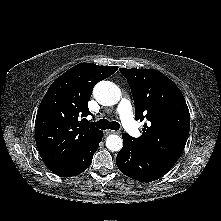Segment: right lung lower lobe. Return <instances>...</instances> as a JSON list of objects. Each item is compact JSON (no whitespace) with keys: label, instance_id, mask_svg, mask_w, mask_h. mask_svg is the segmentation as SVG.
<instances>
[{"label":"right lung lower lobe","instance_id":"1","mask_svg":"<svg viewBox=\"0 0 221 221\" xmlns=\"http://www.w3.org/2000/svg\"><path fill=\"white\" fill-rule=\"evenodd\" d=\"M102 136L103 132L101 131L95 140L73 161L63 167L53 170L52 172L60 177H71L82 173L90 166L93 155L102 140Z\"/></svg>","mask_w":221,"mask_h":221}]
</instances>
